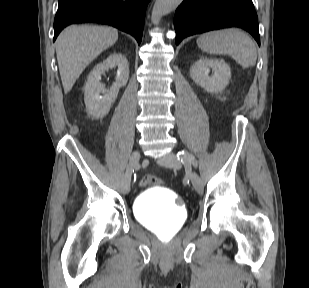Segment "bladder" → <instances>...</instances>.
Returning <instances> with one entry per match:
<instances>
[{"mask_svg":"<svg viewBox=\"0 0 309 288\" xmlns=\"http://www.w3.org/2000/svg\"><path fill=\"white\" fill-rule=\"evenodd\" d=\"M133 209L141 225L159 234L178 232L187 218V211L178 196L160 186L141 192L134 201Z\"/></svg>","mask_w":309,"mask_h":288,"instance_id":"31cf9c89","label":"bladder"}]
</instances>
